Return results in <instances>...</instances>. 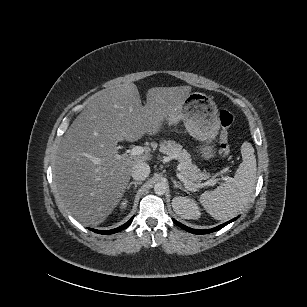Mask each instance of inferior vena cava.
Segmentation results:
<instances>
[{"mask_svg": "<svg viewBox=\"0 0 307 307\" xmlns=\"http://www.w3.org/2000/svg\"><path fill=\"white\" fill-rule=\"evenodd\" d=\"M150 173V166L146 162H137L134 164L131 175L135 180L142 181Z\"/></svg>", "mask_w": 307, "mask_h": 307, "instance_id": "obj_1", "label": "inferior vena cava"}]
</instances>
